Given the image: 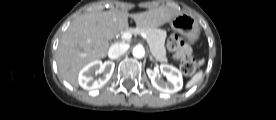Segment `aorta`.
Instances as JSON below:
<instances>
[{
  "instance_id": "762f6f07",
  "label": "aorta",
  "mask_w": 276,
  "mask_h": 120,
  "mask_svg": "<svg viewBox=\"0 0 276 120\" xmlns=\"http://www.w3.org/2000/svg\"><path fill=\"white\" fill-rule=\"evenodd\" d=\"M132 54L135 58L141 59L145 56V49L141 45H137L133 48Z\"/></svg>"
}]
</instances>
